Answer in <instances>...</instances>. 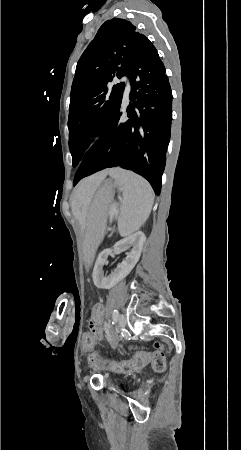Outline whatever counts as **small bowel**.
<instances>
[{
	"mask_svg": "<svg viewBox=\"0 0 241 450\" xmlns=\"http://www.w3.org/2000/svg\"><path fill=\"white\" fill-rule=\"evenodd\" d=\"M92 316H89L88 323L91 330H93L91 333H95L96 340L95 343L97 344V340L101 337L102 329H103V310L102 306L99 303L94 304L93 310H92ZM83 348V347H82Z\"/></svg>",
	"mask_w": 241,
	"mask_h": 450,
	"instance_id": "1",
	"label": "small bowel"
}]
</instances>
